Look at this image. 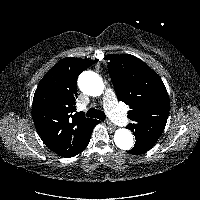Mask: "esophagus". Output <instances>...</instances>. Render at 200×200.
Returning <instances> with one entry per match:
<instances>
[{
	"instance_id": "34e87169",
	"label": "esophagus",
	"mask_w": 200,
	"mask_h": 200,
	"mask_svg": "<svg viewBox=\"0 0 200 200\" xmlns=\"http://www.w3.org/2000/svg\"><path fill=\"white\" fill-rule=\"evenodd\" d=\"M106 123H107V125H108L109 127H111L112 129L115 128V125L112 124L109 120H107Z\"/></svg>"
}]
</instances>
